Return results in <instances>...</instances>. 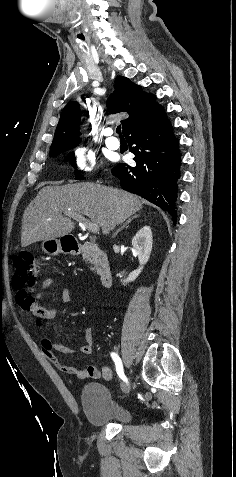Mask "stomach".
<instances>
[{
	"label": "stomach",
	"instance_id": "stomach-1",
	"mask_svg": "<svg viewBox=\"0 0 236 477\" xmlns=\"http://www.w3.org/2000/svg\"><path fill=\"white\" fill-rule=\"evenodd\" d=\"M41 248L49 255H57L59 253L66 252V249L62 245L61 239L44 240L41 244ZM70 252H72V250Z\"/></svg>",
	"mask_w": 236,
	"mask_h": 477
}]
</instances>
